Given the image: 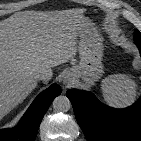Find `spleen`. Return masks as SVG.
Here are the masks:
<instances>
[{"mask_svg": "<svg viewBox=\"0 0 141 141\" xmlns=\"http://www.w3.org/2000/svg\"><path fill=\"white\" fill-rule=\"evenodd\" d=\"M104 100L116 107L131 104L136 97V83L128 75H113L102 81Z\"/></svg>", "mask_w": 141, "mask_h": 141, "instance_id": "obj_1", "label": "spleen"}]
</instances>
